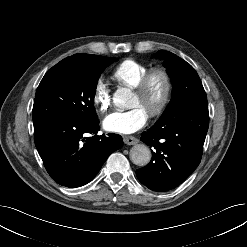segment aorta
<instances>
[{
	"label": "aorta",
	"mask_w": 247,
	"mask_h": 247,
	"mask_svg": "<svg viewBox=\"0 0 247 247\" xmlns=\"http://www.w3.org/2000/svg\"><path fill=\"white\" fill-rule=\"evenodd\" d=\"M131 95L130 89L121 88L115 92L113 99L115 103L125 105ZM130 159L137 166H145L151 160L150 149L145 144H136L130 150Z\"/></svg>",
	"instance_id": "aorta-1"
}]
</instances>
